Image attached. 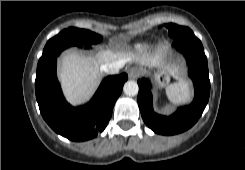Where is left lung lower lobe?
I'll list each match as a JSON object with an SVG mask.
<instances>
[{
  "label": "left lung lower lobe",
  "instance_id": "1",
  "mask_svg": "<svg viewBox=\"0 0 245 170\" xmlns=\"http://www.w3.org/2000/svg\"><path fill=\"white\" fill-rule=\"evenodd\" d=\"M174 47L185 56L189 67V76L194 83L195 97L189 106L180 107L171 116L154 113L151 84L146 78L138 80V105L142 118L149 128L162 135H174L191 128L202 115L210 94L207 58L202 43L175 39Z\"/></svg>",
  "mask_w": 245,
  "mask_h": 170
}]
</instances>
